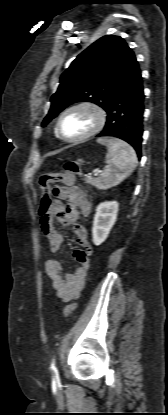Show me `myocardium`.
<instances>
[{
  "label": "myocardium",
  "instance_id": "obj_1",
  "mask_svg": "<svg viewBox=\"0 0 168 415\" xmlns=\"http://www.w3.org/2000/svg\"><path fill=\"white\" fill-rule=\"evenodd\" d=\"M77 109H87L90 110L94 116H95V123L93 125V127L86 132L85 134L75 137V138H68L66 137L61 129V123H62V119L64 118V116L69 113L70 111L73 110H77ZM106 119H107V114L106 111L104 110V108L99 105L96 102L93 101H81L78 103H75L73 105H70L69 107H67L66 109H64L62 111V113L59 115L58 119H57V123H56V132L58 134V136L66 141V142H80L83 140H86L94 135H96L98 132H100L102 130V128L104 127L105 123H106Z\"/></svg>",
  "mask_w": 168,
  "mask_h": 415
}]
</instances>
